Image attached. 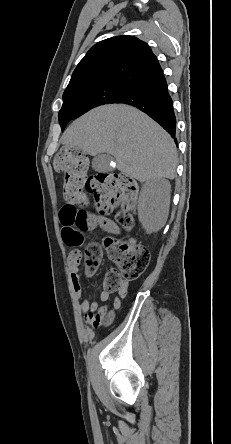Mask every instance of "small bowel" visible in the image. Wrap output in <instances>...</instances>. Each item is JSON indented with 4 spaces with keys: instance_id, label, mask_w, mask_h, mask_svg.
<instances>
[{
    "instance_id": "1",
    "label": "small bowel",
    "mask_w": 231,
    "mask_h": 444,
    "mask_svg": "<svg viewBox=\"0 0 231 444\" xmlns=\"http://www.w3.org/2000/svg\"><path fill=\"white\" fill-rule=\"evenodd\" d=\"M62 209L60 212L61 220ZM63 225V224H62ZM98 227L110 233H117L118 229L116 225L109 219L100 218L98 222ZM62 236L64 242L72 247L78 246L82 240L81 233L76 230L69 228L67 226L62 227ZM81 255L78 250H73L70 255V269L72 272V282L75 292V297L80 301L82 284H81V273L79 272ZM128 282L124 281L119 289V297H115L109 300V293L103 291L100 294V300L106 302L101 305L98 301H90L88 298H84L79 303L80 312L83 314L85 321L92 325L93 327H99L104 324H108L112 321L114 316V311L119 309L121 306L122 299L127 295Z\"/></svg>"
}]
</instances>
